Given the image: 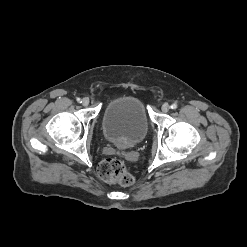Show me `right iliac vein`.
Masks as SVG:
<instances>
[{
  "instance_id": "obj_1",
  "label": "right iliac vein",
  "mask_w": 247,
  "mask_h": 247,
  "mask_svg": "<svg viewBox=\"0 0 247 247\" xmlns=\"http://www.w3.org/2000/svg\"><path fill=\"white\" fill-rule=\"evenodd\" d=\"M89 102L90 101H89L88 98H83L81 103H82L83 106H88L89 105Z\"/></svg>"
}]
</instances>
